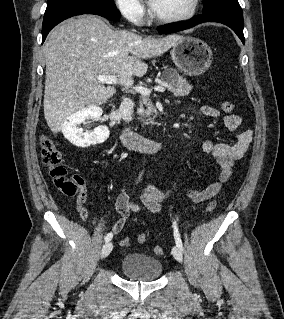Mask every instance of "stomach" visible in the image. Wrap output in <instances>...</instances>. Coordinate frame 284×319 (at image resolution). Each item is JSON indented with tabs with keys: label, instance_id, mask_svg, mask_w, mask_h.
<instances>
[{
	"label": "stomach",
	"instance_id": "1",
	"mask_svg": "<svg viewBox=\"0 0 284 319\" xmlns=\"http://www.w3.org/2000/svg\"><path fill=\"white\" fill-rule=\"evenodd\" d=\"M175 65L189 76L203 74L211 65L213 54L203 40L195 37H182L171 49Z\"/></svg>",
	"mask_w": 284,
	"mask_h": 319
}]
</instances>
